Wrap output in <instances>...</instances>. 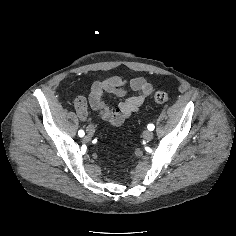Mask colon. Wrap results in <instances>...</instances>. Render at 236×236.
<instances>
[{"instance_id":"colon-1","label":"colon","mask_w":236,"mask_h":236,"mask_svg":"<svg viewBox=\"0 0 236 236\" xmlns=\"http://www.w3.org/2000/svg\"><path fill=\"white\" fill-rule=\"evenodd\" d=\"M169 100V95L166 92L158 91L154 94V101L156 103H165Z\"/></svg>"}]
</instances>
